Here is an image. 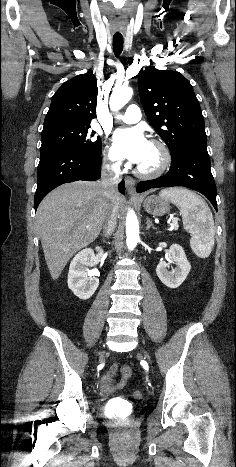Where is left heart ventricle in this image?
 I'll return each mask as SVG.
<instances>
[{"instance_id":"obj_1","label":"left heart ventricle","mask_w":236,"mask_h":467,"mask_svg":"<svg viewBox=\"0 0 236 467\" xmlns=\"http://www.w3.org/2000/svg\"><path fill=\"white\" fill-rule=\"evenodd\" d=\"M160 162V154L159 151L149 144L147 153L144 159L138 164L141 168L146 170L154 169Z\"/></svg>"}]
</instances>
